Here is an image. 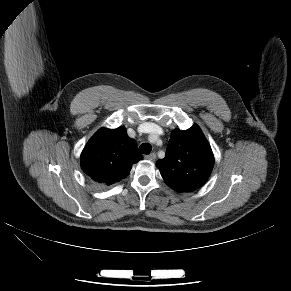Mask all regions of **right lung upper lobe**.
Instances as JSON below:
<instances>
[{"label": "right lung upper lobe", "mask_w": 291, "mask_h": 291, "mask_svg": "<svg viewBox=\"0 0 291 291\" xmlns=\"http://www.w3.org/2000/svg\"><path fill=\"white\" fill-rule=\"evenodd\" d=\"M143 157L125 127L102 128L81 153V168L95 182L111 185L127 177L132 165Z\"/></svg>", "instance_id": "right-lung-upper-lobe-1"}]
</instances>
